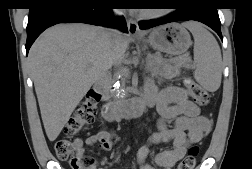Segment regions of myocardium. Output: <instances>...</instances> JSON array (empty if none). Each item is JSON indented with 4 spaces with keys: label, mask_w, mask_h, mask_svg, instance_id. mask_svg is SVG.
<instances>
[{
    "label": "myocardium",
    "mask_w": 252,
    "mask_h": 169,
    "mask_svg": "<svg viewBox=\"0 0 252 169\" xmlns=\"http://www.w3.org/2000/svg\"><path fill=\"white\" fill-rule=\"evenodd\" d=\"M159 12L151 11V10H142L139 12V16L142 18L150 19L159 16Z\"/></svg>",
    "instance_id": "f54148a6"
}]
</instances>
